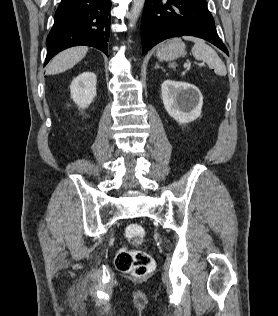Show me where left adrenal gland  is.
<instances>
[{
    "label": "left adrenal gland",
    "mask_w": 278,
    "mask_h": 316,
    "mask_svg": "<svg viewBox=\"0 0 278 316\" xmlns=\"http://www.w3.org/2000/svg\"><path fill=\"white\" fill-rule=\"evenodd\" d=\"M156 69L157 68H160V69H162L163 71H164V69L162 68V67H160V65L158 64V63H156V67H155Z\"/></svg>",
    "instance_id": "left-adrenal-gland-1"
}]
</instances>
